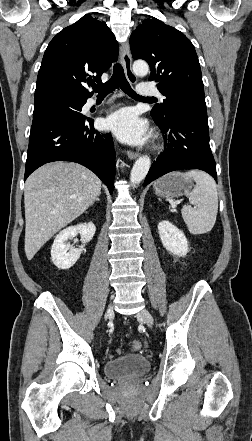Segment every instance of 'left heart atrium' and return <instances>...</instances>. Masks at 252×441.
<instances>
[{
	"label": "left heart atrium",
	"mask_w": 252,
	"mask_h": 441,
	"mask_svg": "<svg viewBox=\"0 0 252 441\" xmlns=\"http://www.w3.org/2000/svg\"><path fill=\"white\" fill-rule=\"evenodd\" d=\"M105 124L118 138L130 144H142L149 137L147 125L131 108L113 113Z\"/></svg>",
	"instance_id": "1"
}]
</instances>
